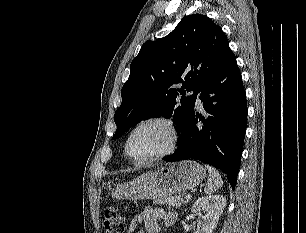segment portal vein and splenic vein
<instances>
[{"label":"portal vein and splenic vein","mask_w":306,"mask_h":233,"mask_svg":"<svg viewBox=\"0 0 306 233\" xmlns=\"http://www.w3.org/2000/svg\"><path fill=\"white\" fill-rule=\"evenodd\" d=\"M191 198H192V196H191L190 194H188V195L185 196V199H186V200H190Z\"/></svg>","instance_id":"1"}]
</instances>
